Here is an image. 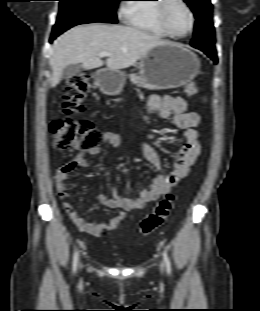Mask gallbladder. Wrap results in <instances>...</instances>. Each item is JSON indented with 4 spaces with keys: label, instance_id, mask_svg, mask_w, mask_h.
Segmentation results:
<instances>
[{
    "label": "gallbladder",
    "instance_id": "1",
    "mask_svg": "<svg viewBox=\"0 0 260 311\" xmlns=\"http://www.w3.org/2000/svg\"><path fill=\"white\" fill-rule=\"evenodd\" d=\"M82 69L81 64H71L66 66L62 71V78L69 79L78 74Z\"/></svg>",
    "mask_w": 260,
    "mask_h": 311
}]
</instances>
